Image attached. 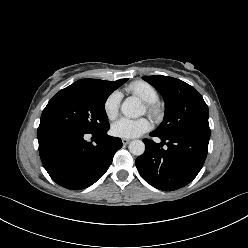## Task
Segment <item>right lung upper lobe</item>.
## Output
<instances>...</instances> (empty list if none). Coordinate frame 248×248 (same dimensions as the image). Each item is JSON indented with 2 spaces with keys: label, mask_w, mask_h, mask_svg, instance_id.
Instances as JSON below:
<instances>
[{
  "label": "right lung upper lobe",
  "mask_w": 248,
  "mask_h": 248,
  "mask_svg": "<svg viewBox=\"0 0 248 248\" xmlns=\"http://www.w3.org/2000/svg\"><path fill=\"white\" fill-rule=\"evenodd\" d=\"M124 79L117 80V81H104L99 79H81L76 82H74V85L92 88V89H102L105 87H112V86H118L123 82Z\"/></svg>",
  "instance_id": "right-lung-upper-lobe-1"
}]
</instances>
